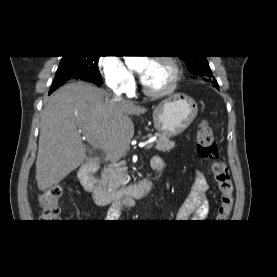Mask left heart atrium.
Listing matches in <instances>:
<instances>
[{
    "mask_svg": "<svg viewBox=\"0 0 277 277\" xmlns=\"http://www.w3.org/2000/svg\"><path fill=\"white\" fill-rule=\"evenodd\" d=\"M140 78H141V81L142 83H146V80H147V71H143L140 75Z\"/></svg>",
    "mask_w": 277,
    "mask_h": 277,
    "instance_id": "39dd6f15",
    "label": "left heart atrium"
}]
</instances>
